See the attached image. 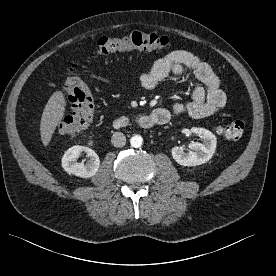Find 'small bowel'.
I'll list each match as a JSON object with an SVG mask.
<instances>
[{
    "label": "small bowel",
    "instance_id": "obj_1",
    "mask_svg": "<svg viewBox=\"0 0 276 276\" xmlns=\"http://www.w3.org/2000/svg\"><path fill=\"white\" fill-rule=\"evenodd\" d=\"M191 71L201 83L196 86L187 101H176L172 110L167 111L169 116L174 114H188L194 118H203L213 115L224 107L226 96L220 87V81L208 63L187 50H176L155 61L151 69L139 76V82L145 89H152L158 82L170 75H182ZM51 87L54 84H50ZM151 113V114H152Z\"/></svg>",
    "mask_w": 276,
    "mask_h": 276
}]
</instances>
